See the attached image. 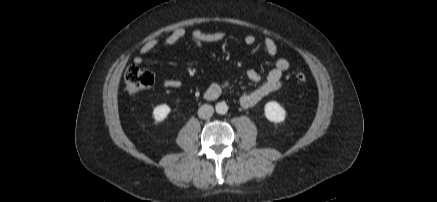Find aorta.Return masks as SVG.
Listing matches in <instances>:
<instances>
[{
    "label": "aorta",
    "instance_id": "762f6f07",
    "mask_svg": "<svg viewBox=\"0 0 437 202\" xmlns=\"http://www.w3.org/2000/svg\"><path fill=\"white\" fill-rule=\"evenodd\" d=\"M215 110L218 114H225L228 111V106L225 102H218L215 105Z\"/></svg>",
    "mask_w": 437,
    "mask_h": 202
}]
</instances>
